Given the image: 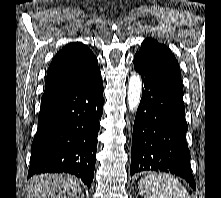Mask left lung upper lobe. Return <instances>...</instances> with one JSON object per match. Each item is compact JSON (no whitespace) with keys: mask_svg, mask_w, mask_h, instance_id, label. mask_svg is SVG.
<instances>
[{"mask_svg":"<svg viewBox=\"0 0 221 198\" xmlns=\"http://www.w3.org/2000/svg\"><path fill=\"white\" fill-rule=\"evenodd\" d=\"M135 56L141 57L183 91L178 61L165 45L159 44L155 39L147 38Z\"/></svg>","mask_w":221,"mask_h":198,"instance_id":"left-lung-upper-lobe-1","label":"left lung upper lobe"}]
</instances>
